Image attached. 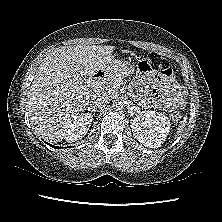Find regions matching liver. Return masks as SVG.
Masks as SVG:
<instances>
[{"instance_id":"obj_1","label":"liver","mask_w":222,"mask_h":222,"mask_svg":"<svg viewBox=\"0 0 222 222\" xmlns=\"http://www.w3.org/2000/svg\"><path fill=\"white\" fill-rule=\"evenodd\" d=\"M113 51L110 45L68 46L43 59L27 101L30 122L42 138L61 141L67 124L85 110L93 93L84 85L88 76L99 69L105 74L119 71L121 61L112 59Z\"/></svg>"}]
</instances>
